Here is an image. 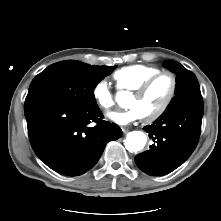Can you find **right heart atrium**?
Wrapping results in <instances>:
<instances>
[{
  "mask_svg": "<svg viewBox=\"0 0 221 221\" xmlns=\"http://www.w3.org/2000/svg\"><path fill=\"white\" fill-rule=\"evenodd\" d=\"M92 94L95 102L104 112L111 110L114 105V94L105 80L99 81L94 86Z\"/></svg>",
  "mask_w": 221,
  "mask_h": 221,
  "instance_id": "obj_1",
  "label": "right heart atrium"
}]
</instances>
